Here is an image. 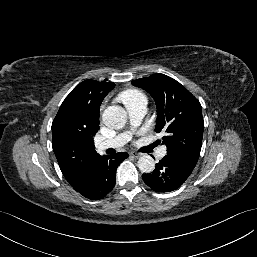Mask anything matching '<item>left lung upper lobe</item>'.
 Returning <instances> with one entry per match:
<instances>
[{
    "label": "left lung upper lobe",
    "mask_w": 257,
    "mask_h": 257,
    "mask_svg": "<svg viewBox=\"0 0 257 257\" xmlns=\"http://www.w3.org/2000/svg\"><path fill=\"white\" fill-rule=\"evenodd\" d=\"M154 98L157 133L166 132L167 154L196 165L202 145L204 121L200 102L179 82L164 74L132 81Z\"/></svg>",
    "instance_id": "obj_1"
}]
</instances>
